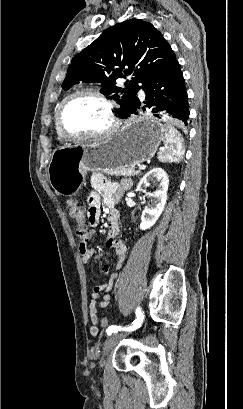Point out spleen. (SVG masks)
<instances>
[{
    "mask_svg": "<svg viewBox=\"0 0 243 409\" xmlns=\"http://www.w3.org/2000/svg\"><path fill=\"white\" fill-rule=\"evenodd\" d=\"M164 147L158 153L161 162L177 163L185 153L183 139L177 129L170 123L164 125Z\"/></svg>",
    "mask_w": 243,
    "mask_h": 409,
    "instance_id": "obj_1",
    "label": "spleen"
}]
</instances>
